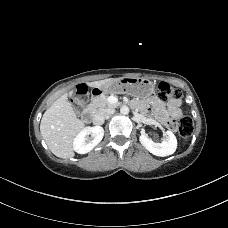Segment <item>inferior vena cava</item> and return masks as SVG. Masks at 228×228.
Returning <instances> with one entry per match:
<instances>
[{"label": "inferior vena cava", "mask_w": 228, "mask_h": 228, "mask_svg": "<svg viewBox=\"0 0 228 228\" xmlns=\"http://www.w3.org/2000/svg\"><path fill=\"white\" fill-rule=\"evenodd\" d=\"M115 112L114 109H108L102 112H99L98 114L95 115L93 118V122L95 124H101L104 122L105 118L108 117L109 115H112Z\"/></svg>", "instance_id": "1"}]
</instances>
